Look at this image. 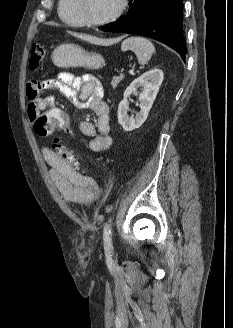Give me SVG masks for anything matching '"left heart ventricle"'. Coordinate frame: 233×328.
I'll use <instances>...</instances> for the list:
<instances>
[{
    "mask_svg": "<svg viewBox=\"0 0 233 328\" xmlns=\"http://www.w3.org/2000/svg\"><path fill=\"white\" fill-rule=\"evenodd\" d=\"M121 0H83L85 14L93 20L104 19L113 14Z\"/></svg>",
    "mask_w": 233,
    "mask_h": 328,
    "instance_id": "b2bd125f",
    "label": "left heart ventricle"
}]
</instances>
